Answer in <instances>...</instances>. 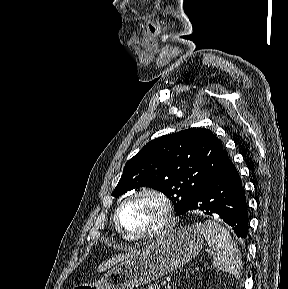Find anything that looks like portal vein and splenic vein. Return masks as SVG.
<instances>
[{
  "instance_id": "1",
  "label": "portal vein and splenic vein",
  "mask_w": 288,
  "mask_h": 289,
  "mask_svg": "<svg viewBox=\"0 0 288 289\" xmlns=\"http://www.w3.org/2000/svg\"><path fill=\"white\" fill-rule=\"evenodd\" d=\"M161 286L168 288V283H167V281L161 282Z\"/></svg>"
}]
</instances>
